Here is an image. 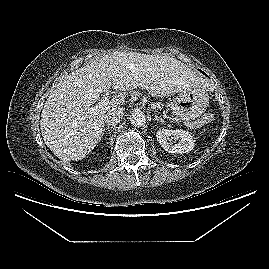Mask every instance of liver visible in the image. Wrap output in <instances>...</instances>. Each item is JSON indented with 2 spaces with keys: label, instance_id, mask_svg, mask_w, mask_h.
<instances>
[{
  "label": "liver",
  "instance_id": "6515ba94",
  "mask_svg": "<svg viewBox=\"0 0 269 269\" xmlns=\"http://www.w3.org/2000/svg\"><path fill=\"white\" fill-rule=\"evenodd\" d=\"M111 87L124 93L114 95L97 112L90 111ZM137 87L162 97L206 85L191 68L170 56L105 55L70 73L48 96L40 120L46 146L64 161L82 160L101 139L106 113L124 105L125 92Z\"/></svg>",
  "mask_w": 269,
  "mask_h": 269
}]
</instances>
